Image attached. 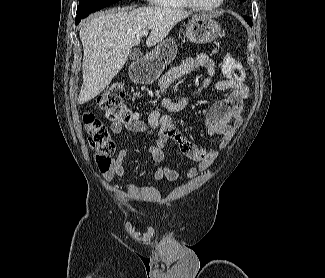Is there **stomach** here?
Masks as SVG:
<instances>
[{
    "label": "stomach",
    "instance_id": "1",
    "mask_svg": "<svg viewBox=\"0 0 325 278\" xmlns=\"http://www.w3.org/2000/svg\"><path fill=\"white\" fill-rule=\"evenodd\" d=\"M221 35V26L209 15H195L186 26V37L192 43L205 44ZM177 45L173 39H164L142 64L135 67L131 78L136 83L151 84L174 59Z\"/></svg>",
    "mask_w": 325,
    "mask_h": 278
}]
</instances>
